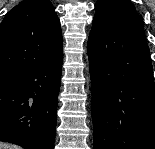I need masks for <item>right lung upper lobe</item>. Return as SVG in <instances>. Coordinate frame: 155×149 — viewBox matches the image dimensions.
I'll return each mask as SVG.
<instances>
[{
	"label": "right lung upper lobe",
	"instance_id": "1",
	"mask_svg": "<svg viewBox=\"0 0 155 149\" xmlns=\"http://www.w3.org/2000/svg\"><path fill=\"white\" fill-rule=\"evenodd\" d=\"M60 21L49 0H23L0 24V74H19L62 56Z\"/></svg>",
	"mask_w": 155,
	"mask_h": 149
}]
</instances>
